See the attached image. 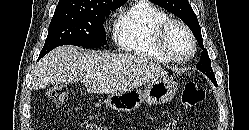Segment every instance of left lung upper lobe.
<instances>
[{
	"mask_svg": "<svg viewBox=\"0 0 249 130\" xmlns=\"http://www.w3.org/2000/svg\"><path fill=\"white\" fill-rule=\"evenodd\" d=\"M152 2L178 16L190 28L199 46L203 49L200 62L196 65V68L203 72L213 84L217 86L216 78L211 67V60L207 50L203 47L201 28L197 16L188 0H152Z\"/></svg>",
	"mask_w": 249,
	"mask_h": 130,
	"instance_id": "obj_1",
	"label": "left lung upper lobe"
}]
</instances>
